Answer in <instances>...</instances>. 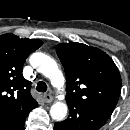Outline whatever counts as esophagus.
<instances>
[{
  "label": "esophagus",
  "mask_w": 130,
  "mask_h": 130,
  "mask_svg": "<svg viewBox=\"0 0 130 130\" xmlns=\"http://www.w3.org/2000/svg\"><path fill=\"white\" fill-rule=\"evenodd\" d=\"M44 101H45L46 103H51V102L53 101V96L50 95V94H45V95H44Z\"/></svg>",
  "instance_id": "34e87169"
}]
</instances>
